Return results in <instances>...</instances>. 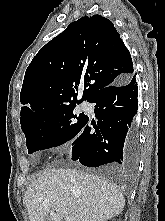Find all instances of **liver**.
Returning a JSON list of instances; mask_svg holds the SVG:
<instances>
[{
	"label": "liver",
	"mask_w": 165,
	"mask_h": 221,
	"mask_svg": "<svg viewBox=\"0 0 165 221\" xmlns=\"http://www.w3.org/2000/svg\"><path fill=\"white\" fill-rule=\"evenodd\" d=\"M24 204L30 221H106L125 205L119 189L107 179L75 169H47L29 184ZM54 211L57 218H51Z\"/></svg>",
	"instance_id": "1"
}]
</instances>
